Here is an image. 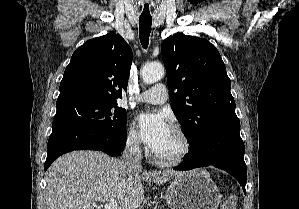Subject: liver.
Instances as JSON below:
<instances>
[{
	"label": "liver",
	"instance_id": "liver-1",
	"mask_svg": "<svg viewBox=\"0 0 299 209\" xmlns=\"http://www.w3.org/2000/svg\"><path fill=\"white\" fill-rule=\"evenodd\" d=\"M182 172L140 173L118 159L97 151H73L48 169L47 209H93L97 201H118L121 209H137L144 199L142 180L163 184Z\"/></svg>",
	"mask_w": 299,
	"mask_h": 209
}]
</instances>
